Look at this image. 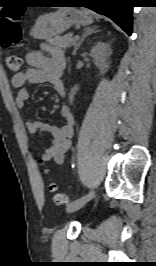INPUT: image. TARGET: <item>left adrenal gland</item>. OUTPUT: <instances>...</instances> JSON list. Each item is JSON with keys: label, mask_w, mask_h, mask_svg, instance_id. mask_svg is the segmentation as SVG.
<instances>
[{"label": "left adrenal gland", "mask_w": 156, "mask_h": 266, "mask_svg": "<svg viewBox=\"0 0 156 266\" xmlns=\"http://www.w3.org/2000/svg\"><path fill=\"white\" fill-rule=\"evenodd\" d=\"M96 28L97 27H87L84 29V33H83L82 37L80 38V40L78 41V43L74 47L73 55H76V51L78 50L80 45L83 43V41L86 37H88L89 35H91L93 33L98 32V30H96Z\"/></svg>", "instance_id": "obj_1"}]
</instances>
